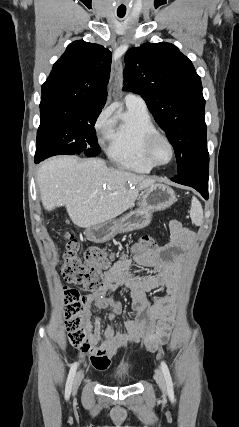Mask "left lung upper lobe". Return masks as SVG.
Returning a JSON list of instances; mask_svg holds the SVG:
<instances>
[{
  "instance_id": "left-lung-upper-lobe-1",
  "label": "left lung upper lobe",
  "mask_w": 239,
  "mask_h": 427,
  "mask_svg": "<svg viewBox=\"0 0 239 427\" xmlns=\"http://www.w3.org/2000/svg\"><path fill=\"white\" fill-rule=\"evenodd\" d=\"M124 90L139 94L174 147L183 173L209 156L205 100L191 61L171 43H146L125 55Z\"/></svg>"
}]
</instances>
